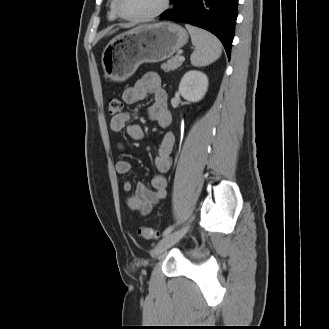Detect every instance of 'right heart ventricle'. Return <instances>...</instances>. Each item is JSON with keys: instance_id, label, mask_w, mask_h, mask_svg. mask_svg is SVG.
Here are the masks:
<instances>
[{"instance_id": "1", "label": "right heart ventricle", "mask_w": 329, "mask_h": 329, "mask_svg": "<svg viewBox=\"0 0 329 329\" xmlns=\"http://www.w3.org/2000/svg\"><path fill=\"white\" fill-rule=\"evenodd\" d=\"M109 17H110V19H113V20L118 18V15L115 11V0H111V2H110Z\"/></svg>"}]
</instances>
